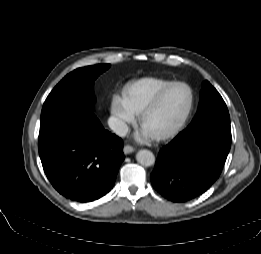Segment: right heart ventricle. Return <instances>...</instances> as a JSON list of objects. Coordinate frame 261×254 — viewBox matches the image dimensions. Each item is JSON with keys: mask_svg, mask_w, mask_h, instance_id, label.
I'll return each mask as SVG.
<instances>
[{"mask_svg": "<svg viewBox=\"0 0 261 254\" xmlns=\"http://www.w3.org/2000/svg\"><path fill=\"white\" fill-rule=\"evenodd\" d=\"M169 83L171 81L157 78H143L129 85L126 96L135 114H139Z\"/></svg>", "mask_w": 261, "mask_h": 254, "instance_id": "right-heart-ventricle-1", "label": "right heart ventricle"}]
</instances>
